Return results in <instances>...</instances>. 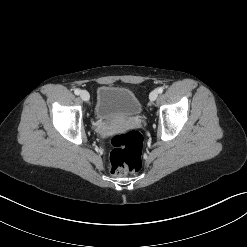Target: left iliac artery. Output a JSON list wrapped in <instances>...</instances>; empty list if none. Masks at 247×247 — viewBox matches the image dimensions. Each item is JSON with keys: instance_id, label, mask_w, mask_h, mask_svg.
I'll list each match as a JSON object with an SVG mask.
<instances>
[{"instance_id": "44dca946", "label": "left iliac artery", "mask_w": 247, "mask_h": 247, "mask_svg": "<svg viewBox=\"0 0 247 247\" xmlns=\"http://www.w3.org/2000/svg\"><path fill=\"white\" fill-rule=\"evenodd\" d=\"M163 87H159L158 89H157V92L160 94V93H162L163 92Z\"/></svg>"}]
</instances>
